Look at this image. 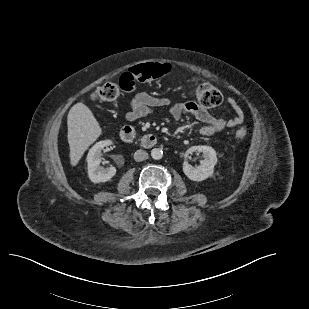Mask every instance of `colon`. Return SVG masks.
<instances>
[{
  "instance_id": "colon-1",
  "label": "colon",
  "mask_w": 309,
  "mask_h": 309,
  "mask_svg": "<svg viewBox=\"0 0 309 309\" xmlns=\"http://www.w3.org/2000/svg\"><path fill=\"white\" fill-rule=\"evenodd\" d=\"M171 67L167 63H147L134 67L123 73L118 83L107 82L90 94V100L93 102H111L114 101L121 90L127 91L126 82L134 87L136 81L151 82L163 77L169 73ZM196 98L199 104L206 107H215L222 103L221 92L213 85L206 82L196 83ZM247 134L246 129L240 128L234 133L236 139H243Z\"/></svg>"
}]
</instances>
